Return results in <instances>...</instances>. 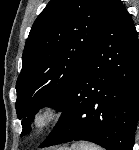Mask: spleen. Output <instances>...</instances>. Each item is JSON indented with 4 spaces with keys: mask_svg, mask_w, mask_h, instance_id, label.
I'll return each instance as SVG.
<instances>
[{
    "mask_svg": "<svg viewBox=\"0 0 139 150\" xmlns=\"http://www.w3.org/2000/svg\"><path fill=\"white\" fill-rule=\"evenodd\" d=\"M72 150H103L101 147L94 144L80 142L72 146Z\"/></svg>",
    "mask_w": 139,
    "mask_h": 150,
    "instance_id": "spleen-1",
    "label": "spleen"
}]
</instances>
